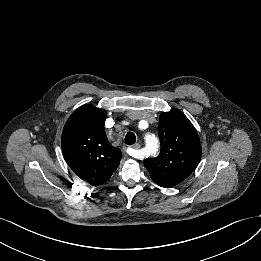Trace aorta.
Listing matches in <instances>:
<instances>
[{
    "mask_svg": "<svg viewBox=\"0 0 261 261\" xmlns=\"http://www.w3.org/2000/svg\"><path fill=\"white\" fill-rule=\"evenodd\" d=\"M151 138H152V136H149V137L147 138V141H149Z\"/></svg>",
    "mask_w": 261,
    "mask_h": 261,
    "instance_id": "obj_1",
    "label": "aorta"
}]
</instances>
